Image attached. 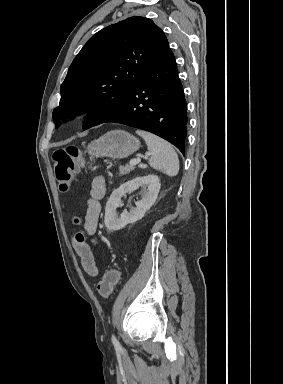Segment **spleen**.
<instances>
[{"label":"spleen","mask_w":283,"mask_h":384,"mask_svg":"<svg viewBox=\"0 0 283 384\" xmlns=\"http://www.w3.org/2000/svg\"><path fill=\"white\" fill-rule=\"evenodd\" d=\"M136 134L145 140L149 152H152V156L149 158L151 168L159 170V172H163L167 176H177L179 160L171 144L161 140L158 136H154V134H149V132L137 130Z\"/></svg>","instance_id":"obj_1"}]
</instances>
